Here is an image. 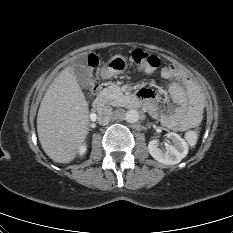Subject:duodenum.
I'll return each mask as SVG.
<instances>
[{
    "mask_svg": "<svg viewBox=\"0 0 233 233\" xmlns=\"http://www.w3.org/2000/svg\"><path fill=\"white\" fill-rule=\"evenodd\" d=\"M141 101V96L138 94L136 97H132L129 101L131 107H136ZM106 104V98L104 95H99L93 102V107L97 110L102 109Z\"/></svg>",
    "mask_w": 233,
    "mask_h": 233,
    "instance_id": "410a0bca",
    "label": "duodenum"
}]
</instances>
